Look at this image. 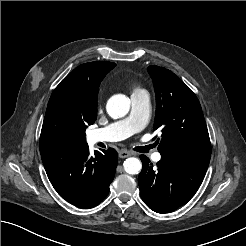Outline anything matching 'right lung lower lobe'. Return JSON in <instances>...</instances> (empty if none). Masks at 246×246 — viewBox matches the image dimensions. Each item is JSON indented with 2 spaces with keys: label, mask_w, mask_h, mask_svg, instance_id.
<instances>
[{
  "label": "right lung lower lobe",
  "mask_w": 246,
  "mask_h": 246,
  "mask_svg": "<svg viewBox=\"0 0 246 246\" xmlns=\"http://www.w3.org/2000/svg\"><path fill=\"white\" fill-rule=\"evenodd\" d=\"M47 176L58 194L71 204L88 209L109 193L118 154L109 148L89 155L86 142H63L41 151Z\"/></svg>",
  "instance_id": "obj_1"
}]
</instances>
